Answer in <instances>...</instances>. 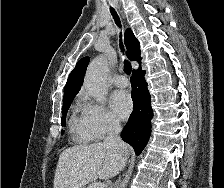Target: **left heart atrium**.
<instances>
[{
	"instance_id": "obj_1",
	"label": "left heart atrium",
	"mask_w": 224,
	"mask_h": 188,
	"mask_svg": "<svg viewBox=\"0 0 224 188\" xmlns=\"http://www.w3.org/2000/svg\"><path fill=\"white\" fill-rule=\"evenodd\" d=\"M111 109L120 119H126L132 111V100L126 91H115L110 99Z\"/></svg>"
}]
</instances>
